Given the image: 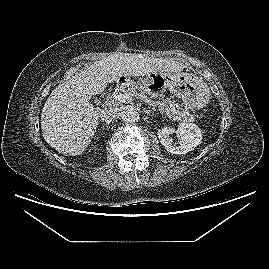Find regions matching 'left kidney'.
Masks as SVG:
<instances>
[{"label": "left kidney", "instance_id": "5707ae66", "mask_svg": "<svg viewBox=\"0 0 269 269\" xmlns=\"http://www.w3.org/2000/svg\"><path fill=\"white\" fill-rule=\"evenodd\" d=\"M174 132L172 128L164 127L158 131L157 135L161 144L167 151L173 154H186L192 151L201 143L202 133L200 128L191 123H180L176 134L179 137L178 143H173L170 135Z\"/></svg>", "mask_w": 269, "mask_h": 269}]
</instances>
